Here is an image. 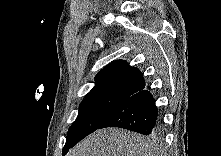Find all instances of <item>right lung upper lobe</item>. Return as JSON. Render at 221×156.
Here are the masks:
<instances>
[{
    "label": "right lung upper lobe",
    "mask_w": 221,
    "mask_h": 156,
    "mask_svg": "<svg viewBox=\"0 0 221 156\" xmlns=\"http://www.w3.org/2000/svg\"><path fill=\"white\" fill-rule=\"evenodd\" d=\"M94 88L86 98L104 97L127 100L145 89V81L139 69L125 60H115L103 68L95 77Z\"/></svg>",
    "instance_id": "obj_1"
}]
</instances>
